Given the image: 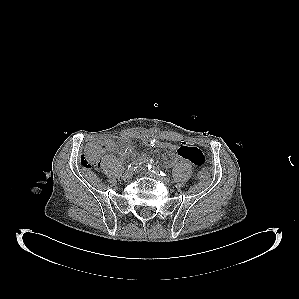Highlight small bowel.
Instances as JSON below:
<instances>
[{
  "label": "small bowel",
  "instance_id": "c3829d8e",
  "mask_svg": "<svg viewBox=\"0 0 299 299\" xmlns=\"http://www.w3.org/2000/svg\"><path fill=\"white\" fill-rule=\"evenodd\" d=\"M144 146L156 147L160 149H166L174 152L178 157L185 159L197 167H201L205 163V157L200 149L197 147L184 143L181 146H177L167 141H160L156 139L144 138L142 140ZM105 151L118 152L123 157L133 156L135 153L128 144L127 140H123L120 143L109 140L105 143Z\"/></svg>",
  "mask_w": 299,
  "mask_h": 299
}]
</instances>
